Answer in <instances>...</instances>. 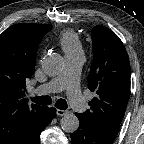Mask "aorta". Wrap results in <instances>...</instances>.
Wrapping results in <instances>:
<instances>
[{
  "label": "aorta",
  "instance_id": "762f6f07",
  "mask_svg": "<svg viewBox=\"0 0 144 144\" xmlns=\"http://www.w3.org/2000/svg\"><path fill=\"white\" fill-rule=\"evenodd\" d=\"M41 65L45 74L56 76L60 74L63 69V59L57 53H49L43 57ZM60 125L63 131L73 133L79 127V119L75 114L69 113L62 117Z\"/></svg>",
  "mask_w": 144,
  "mask_h": 144
}]
</instances>
